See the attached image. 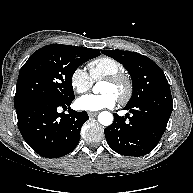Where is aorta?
I'll use <instances>...</instances> for the list:
<instances>
[{"mask_svg": "<svg viewBox=\"0 0 193 193\" xmlns=\"http://www.w3.org/2000/svg\"><path fill=\"white\" fill-rule=\"evenodd\" d=\"M95 93L98 92L97 87L93 89ZM98 121L104 126H110L113 122V115L108 111H103L98 115Z\"/></svg>", "mask_w": 193, "mask_h": 193, "instance_id": "aorta-1", "label": "aorta"}]
</instances>
